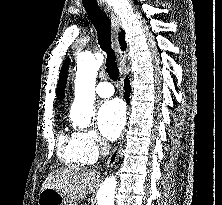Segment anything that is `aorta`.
I'll use <instances>...</instances> for the list:
<instances>
[{
	"instance_id": "1",
	"label": "aorta",
	"mask_w": 222,
	"mask_h": 205,
	"mask_svg": "<svg viewBox=\"0 0 222 205\" xmlns=\"http://www.w3.org/2000/svg\"><path fill=\"white\" fill-rule=\"evenodd\" d=\"M102 59L92 53H83L77 60L75 99L71 106L70 118L79 128H87L94 116L95 81ZM119 189L116 175L108 176L98 193V205H115Z\"/></svg>"
}]
</instances>
